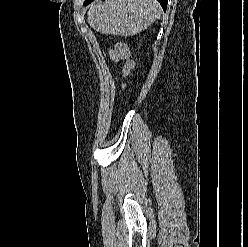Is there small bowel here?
<instances>
[{"label": "small bowel", "mask_w": 248, "mask_h": 247, "mask_svg": "<svg viewBox=\"0 0 248 247\" xmlns=\"http://www.w3.org/2000/svg\"><path fill=\"white\" fill-rule=\"evenodd\" d=\"M111 58L114 61H125V65L123 67V75L126 76L131 68L133 67V62L130 60V50L125 44H118L111 51Z\"/></svg>", "instance_id": "1"}]
</instances>
